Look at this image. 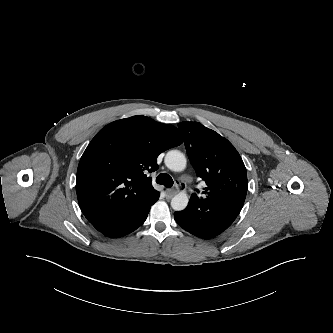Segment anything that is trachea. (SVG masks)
<instances>
[{
  "instance_id": "1",
  "label": "trachea",
  "mask_w": 333,
  "mask_h": 333,
  "mask_svg": "<svg viewBox=\"0 0 333 333\" xmlns=\"http://www.w3.org/2000/svg\"><path fill=\"white\" fill-rule=\"evenodd\" d=\"M156 183L164 185L166 188H171L174 182L170 175L166 173H161L157 176Z\"/></svg>"
}]
</instances>
